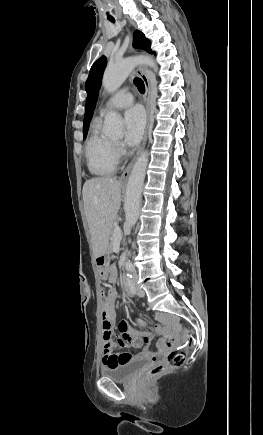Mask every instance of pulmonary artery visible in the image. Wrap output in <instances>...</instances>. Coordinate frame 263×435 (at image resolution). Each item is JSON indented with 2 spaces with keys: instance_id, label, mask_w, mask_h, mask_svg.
<instances>
[{
  "instance_id": "obj_1",
  "label": "pulmonary artery",
  "mask_w": 263,
  "mask_h": 435,
  "mask_svg": "<svg viewBox=\"0 0 263 435\" xmlns=\"http://www.w3.org/2000/svg\"><path fill=\"white\" fill-rule=\"evenodd\" d=\"M134 98L127 89H122L113 95L103 106L100 115L103 116L110 109H123L133 104Z\"/></svg>"
}]
</instances>
